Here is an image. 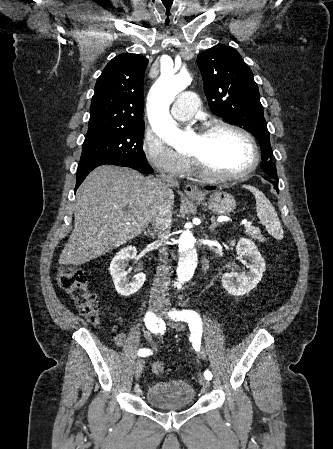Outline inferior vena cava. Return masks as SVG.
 Returning a JSON list of instances; mask_svg holds the SVG:
<instances>
[{
	"mask_svg": "<svg viewBox=\"0 0 333 449\" xmlns=\"http://www.w3.org/2000/svg\"><path fill=\"white\" fill-rule=\"evenodd\" d=\"M159 180L163 183L162 189L178 185L177 180L171 175L161 174ZM152 222L155 228V233L157 234L158 245L160 246L159 260L164 264H159L157 268L156 279L154 280L150 294L151 303L158 300L159 297L165 296L168 293L170 284L171 267L167 264V242L170 239L172 212L163 195L159 197L158 204L153 211Z\"/></svg>",
	"mask_w": 333,
	"mask_h": 449,
	"instance_id": "inferior-vena-cava-1",
	"label": "inferior vena cava"
}]
</instances>
